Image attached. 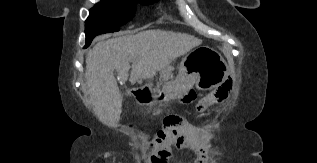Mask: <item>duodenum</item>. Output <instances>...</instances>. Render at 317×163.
<instances>
[{"label": "duodenum", "mask_w": 317, "mask_h": 163, "mask_svg": "<svg viewBox=\"0 0 317 163\" xmlns=\"http://www.w3.org/2000/svg\"><path fill=\"white\" fill-rule=\"evenodd\" d=\"M139 93L140 91L138 89H133L130 91V95L133 97L138 96Z\"/></svg>", "instance_id": "410a0bca"}]
</instances>
